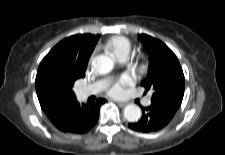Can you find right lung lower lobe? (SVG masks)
Masks as SVG:
<instances>
[{
  "mask_svg": "<svg viewBox=\"0 0 225 155\" xmlns=\"http://www.w3.org/2000/svg\"><path fill=\"white\" fill-rule=\"evenodd\" d=\"M105 99L99 98L95 103L80 105L76 99L64 103L47 114L50 121L61 131L83 134L97 123L100 106Z\"/></svg>",
  "mask_w": 225,
  "mask_h": 155,
  "instance_id": "right-lung-lower-lobe-1",
  "label": "right lung lower lobe"
}]
</instances>
